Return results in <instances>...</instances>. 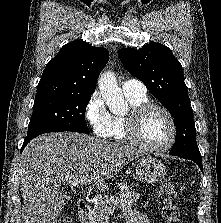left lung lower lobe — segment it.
Returning <instances> with one entry per match:
<instances>
[{
  "label": "left lung lower lobe",
  "mask_w": 221,
  "mask_h": 223,
  "mask_svg": "<svg viewBox=\"0 0 221 223\" xmlns=\"http://www.w3.org/2000/svg\"><path fill=\"white\" fill-rule=\"evenodd\" d=\"M175 156H179L181 158H185V159L194 161L200 167V169L203 171L201 155L184 154V155H175Z\"/></svg>",
  "instance_id": "left-lung-lower-lobe-1"
}]
</instances>
